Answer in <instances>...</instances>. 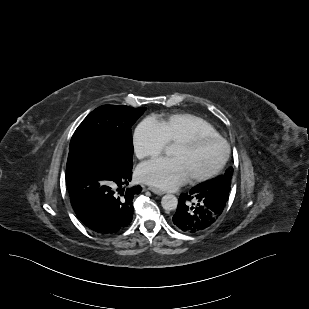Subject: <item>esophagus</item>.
<instances>
[{
  "label": "esophagus",
  "instance_id": "esophagus-1",
  "mask_svg": "<svg viewBox=\"0 0 309 309\" xmlns=\"http://www.w3.org/2000/svg\"><path fill=\"white\" fill-rule=\"evenodd\" d=\"M148 189L157 195H163L165 193L164 191L155 187H149Z\"/></svg>",
  "mask_w": 309,
  "mask_h": 309
}]
</instances>
